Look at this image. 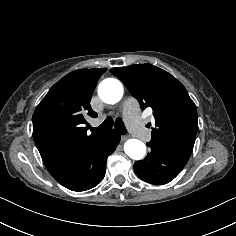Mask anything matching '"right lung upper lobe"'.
Listing matches in <instances>:
<instances>
[{"label": "right lung upper lobe", "instance_id": "obj_1", "mask_svg": "<svg viewBox=\"0 0 236 236\" xmlns=\"http://www.w3.org/2000/svg\"><path fill=\"white\" fill-rule=\"evenodd\" d=\"M103 69L73 71L51 87L33 114V138L43 162L103 135H87L85 114L97 117L90 100Z\"/></svg>", "mask_w": 236, "mask_h": 236}]
</instances>
